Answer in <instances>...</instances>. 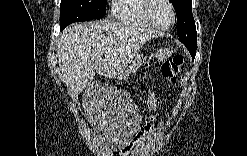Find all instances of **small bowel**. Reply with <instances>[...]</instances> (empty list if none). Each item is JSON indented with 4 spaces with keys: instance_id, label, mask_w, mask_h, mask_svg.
I'll return each instance as SVG.
<instances>
[{
    "instance_id": "1",
    "label": "small bowel",
    "mask_w": 247,
    "mask_h": 156,
    "mask_svg": "<svg viewBox=\"0 0 247 156\" xmlns=\"http://www.w3.org/2000/svg\"><path fill=\"white\" fill-rule=\"evenodd\" d=\"M148 106L151 109H155L156 108V98H155V95L153 93H151L149 98H148ZM151 121H155V118H152Z\"/></svg>"
}]
</instances>
